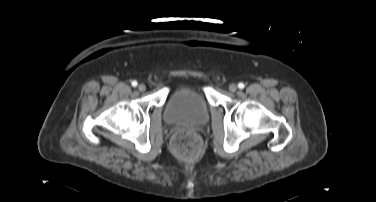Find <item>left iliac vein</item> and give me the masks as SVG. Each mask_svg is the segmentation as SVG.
<instances>
[{
    "mask_svg": "<svg viewBox=\"0 0 376 202\" xmlns=\"http://www.w3.org/2000/svg\"><path fill=\"white\" fill-rule=\"evenodd\" d=\"M229 90H230L231 92H235V91L237 90V85L234 84V83L230 84V86H229Z\"/></svg>",
    "mask_w": 376,
    "mask_h": 202,
    "instance_id": "4c4485c4",
    "label": "left iliac vein"
}]
</instances>
